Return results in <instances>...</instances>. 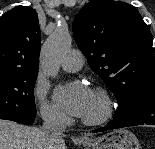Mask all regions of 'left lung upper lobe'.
<instances>
[{"label":"left lung upper lobe","instance_id":"left-lung-upper-lobe-1","mask_svg":"<svg viewBox=\"0 0 155 149\" xmlns=\"http://www.w3.org/2000/svg\"><path fill=\"white\" fill-rule=\"evenodd\" d=\"M75 40L88 63L126 106L155 88L153 37L138 10L125 2L91 0L73 21Z\"/></svg>","mask_w":155,"mask_h":149}]
</instances>
